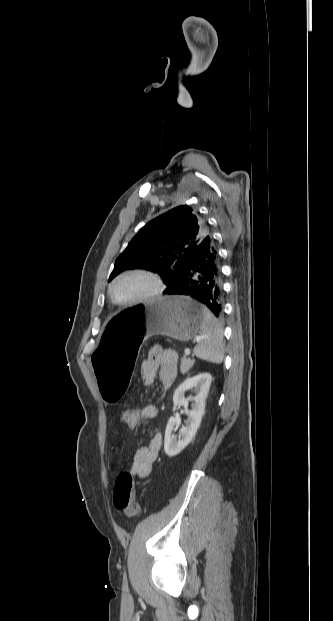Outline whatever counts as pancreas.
Here are the masks:
<instances>
[{
    "label": "pancreas",
    "instance_id": "pancreas-1",
    "mask_svg": "<svg viewBox=\"0 0 333 621\" xmlns=\"http://www.w3.org/2000/svg\"><path fill=\"white\" fill-rule=\"evenodd\" d=\"M194 363H195L194 359L183 357L181 359V365H180L181 373L182 374H186L190 370V368H192Z\"/></svg>",
    "mask_w": 333,
    "mask_h": 621
}]
</instances>
